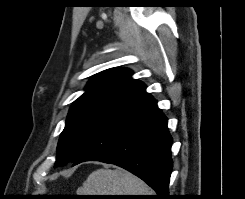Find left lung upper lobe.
<instances>
[{
    "mask_svg": "<svg viewBox=\"0 0 245 199\" xmlns=\"http://www.w3.org/2000/svg\"><path fill=\"white\" fill-rule=\"evenodd\" d=\"M132 71L111 68L92 77L86 92L75 100L60 135L55 165L74 162L92 138L113 118L145 93Z\"/></svg>",
    "mask_w": 245,
    "mask_h": 199,
    "instance_id": "1",
    "label": "left lung upper lobe"
}]
</instances>
